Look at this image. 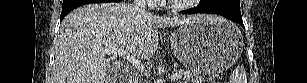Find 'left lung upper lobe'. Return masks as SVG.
Masks as SVG:
<instances>
[{
  "mask_svg": "<svg viewBox=\"0 0 307 83\" xmlns=\"http://www.w3.org/2000/svg\"><path fill=\"white\" fill-rule=\"evenodd\" d=\"M202 1V0H201ZM209 3H212L213 6H220L223 4H230L232 6H234L236 9H239V0H205Z\"/></svg>",
  "mask_w": 307,
  "mask_h": 83,
  "instance_id": "1",
  "label": "left lung upper lobe"
}]
</instances>
